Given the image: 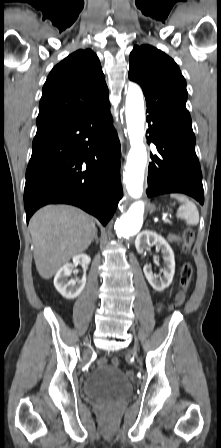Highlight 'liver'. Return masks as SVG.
Returning a JSON list of instances; mask_svg holds the SVG:
<instances>
[{
  "label": "liver",
  "mask_w": 221,
  "mask_h": 448,
  "mask_svg": "<svg viewBox=\"0 0 221 448\" xmlns=\"http://www.w3.org/2000/svg\"><path fill=\"white\" fill-rule=\"evenodd\" d=\"M34 261L39 275L50 279L70 259L84 252L97 231L94 218L68 205H48L30 220Z\"/></svg>",
  "instance_id": "liver-1"
}]
</instances>
